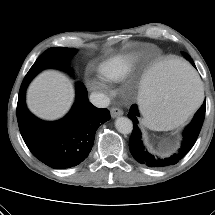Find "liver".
Instances as JSON below:
<instances>
[{
  "mask_svg": "<svg viewBox=\"0 0 215 215\" xmlns=\"http://www.w3.org/2000/svg\"><path fill=\"white\" fill-rule=\"evenodd\" d=\"M27 106L41 119L56 120L64 116L74 100V89L61 73L47 70L39 74L27 90Z\"/></svg>",
  "mask_w": 215,
  "mask_h": 215,
  "instance_id": "6515ba94",
  "label": "liver"
}]
</instances>
